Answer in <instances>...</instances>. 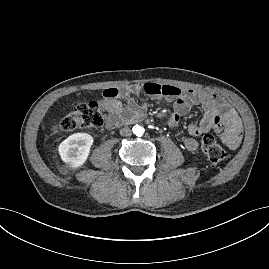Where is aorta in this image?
<instances>
[{
  "label": "aorta",
  "mask_w": 269,
  "mask_h": 269,
  "mask_svg": "<svg viewBox=\"0 0 269 269\" xmlns=\"http://www.w3.org/2000/svg\"><path fill=\"white\" fill-rule=\"evenodd\" d=\"M144 131H145L144 128L140 125H135L133 128V132L137 136H142L144 134Z\"/></svg>",
  "instance_id": "obj_1"
}]
</instances>
